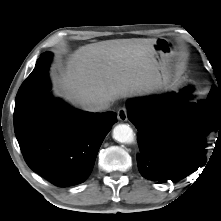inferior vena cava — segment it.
Wrapping results in <instances>:
<instances>
[{
	"instance_id": "1",
	"label": "inferior vena cava",
	"mask_w": 221,
	"mask_h": 221,
	"mask_svg": "<svg viewBox=\"0 0 221 221\" xmlns=\"http://www.w3.org/2000/svg\"><path fill=\"white\" fill-rule=\"evenodd\" d=\"M109 107V102L107 100H98L93 103L87 104L84 109L90 112H101Z\"/></svg>"
}]
</instances>
